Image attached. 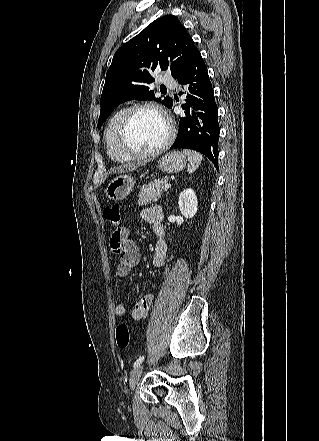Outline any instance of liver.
<instances>
[{"label":"liver","instance_id":"1","mask_svg":"<svg viewBox=\"0 0 319 441\" xmlns=\"http://www.w3.org/2000/svg\"><path fill=\"white\" fill-rule=\"evenodd\" d=\"M146 162H131V163H123L117 167H114L112 169V172L114 173H125V172H129V171H133L137 168H139L140 166L144 165Z\"/></svg>","mask_w":319,"mask_h":441}]
</instances>
